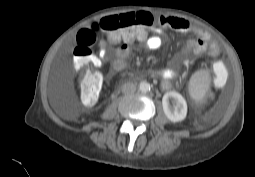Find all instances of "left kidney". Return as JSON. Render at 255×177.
<instances>
[{"label":"left kidney","mask_w":255,"mask_h":177,"mask_svg":"<svg viewBox=\"0 0 255 177\" xmlns=\"http://www.w3.org/2000/svg\"><path fill=\"white\" fill-rule=\"evenodd\" d=\"M170 99L173 101L172 105ZM162 106L166 117L171 122H179L186 118L187 103L181 94L175 91L165 93L162 98Z\"/></svg>","instance_id":"left-kidney-1"}]
</instances>
